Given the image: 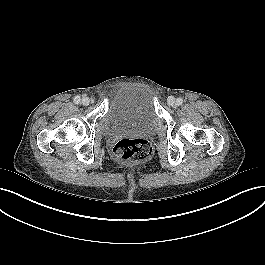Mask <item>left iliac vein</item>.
Segmentation results:
<instances>
[{
  "instance_id": "obj_1",
  "label": "left iliac vein",
  "mask_w": 265,
  "mask_h": 265,
  "mask_svg": "<svg viewBox=\"0 0 265 265\" xmlns=\"http://www.w3.org/2000/svg\"><path fill=\"white\" fill-rule=\"evenodd\" d=\"M167 103L169 106H174L176 104V100L173 96H169L167 99Z\"/></svg>"
}]
</instances>
